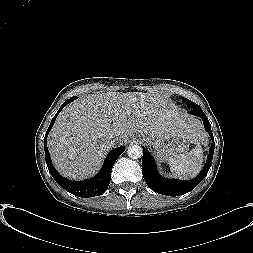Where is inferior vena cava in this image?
I'll use <instances>...</instances> for the list:
<instances>
[{
    "mask_svg": "<svg viewBox=\"0 0 253 253\" xmlns=\"http://www.w3.org/2000/svg\"><path fill=\"white\" fill-rule=\"evenodd\" d=\"M111 143L113 145H120L122 143V136L120 134H113L111 136Z\"/></svg>",
    "mask_w": 253,
    "mask_h": 253,
    "instance_id": "1",
    "label": "inferior vena cava"
}]
</instances>
